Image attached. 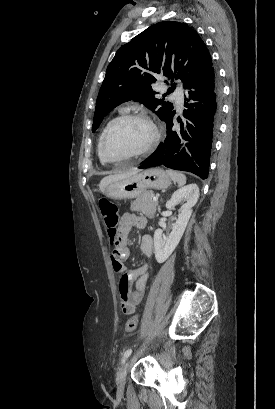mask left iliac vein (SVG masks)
Wrapping results in <instances>:
<instances>
[{
    "label": "left iliac vein",
    "instance_id": "1",
    "mask_svg": "<svg viewBox=\"0 0 275 409\" xmlns=\"http://www.w3.org/2000/svg\"><path fill=\"white\" fill-rule=\"evenodd\" d=\"M131 361H132V358H129L127 360V362L122 366V368L118 372L117 387H118V390H120V391H123V389H124L127 370H128V367H129Z\"/></svg>",
    "mask_w": 275,
    "mask_h": 409
}]
</instances>
